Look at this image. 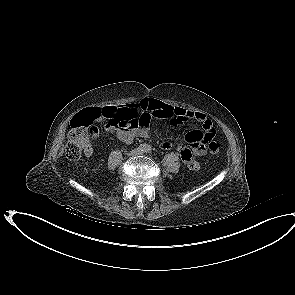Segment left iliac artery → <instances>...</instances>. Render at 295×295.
Listing matches in <instances>:
<instances>
[{
    "label": "left iliac artery",
    "instance_id": "obj_1",
    "mask_svg": "<svg viewBox=\"0 0 295 295\" xmlns=\"http://www.w3.org/2000/svg\"><path fill=\"white\" fill-rule=\"evenodd\" d=\"M146 152H148V153L151 152V147H150V146H148V147L146 148Z\"/></svg>",
    "mask_w": 295,
    "mask_h": 295
}]
</instances>
